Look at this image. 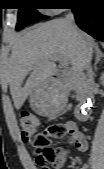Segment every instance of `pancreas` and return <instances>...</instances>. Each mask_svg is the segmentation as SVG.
<instances>
[{"mask_svg":"<svg viewBox=\"0 0 104 169\" xmlns=\"http://www.w3.org/2000/svg\"><path fill=\"white\" fill-rule=\"evenodd\" d=\"M65 83L68 88H71L73 85V81L71 79H66Z\"/></svg>","mask_w":104,"mask_h":169,"instance_id":"cf45deb5","label":"pancreas"}]
</instances>
